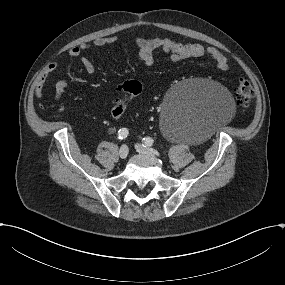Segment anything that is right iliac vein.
Masks as SVG:
<instances>
[{
  "label": "right iliac vein",
  "mask_w": 285,
  "mask_h": 285,
  "mask_svg": "<svg viewBox=\"0 0 285 285\" xmlns=\"http://www.w3.org/2000/svg\"><path fill=\"white\" fill-rule=\"evenodd\" d=\"M129 150L128 147L126 145L121 146L120 150H119V156L121 159H126L128 156Z\"/></svg>",
  "instance_id": "right-iliac-vein-1"
}]
</instances>
